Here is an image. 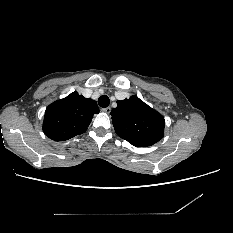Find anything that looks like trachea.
I'll return each mask as SVG.
<instances>
[{
    "mask_svg": "<svg viewBox=\"0 0 233 233\" xmlns=\"http://www.w3.org/2000/svg\"><path fill=\"white\" fill-rule=\"evenodd\" d=\"M98 104L99 106L106 108L109 106L110 104V100L109 97L107 95H102L99 99H98Z\"/></svg>",
    "mask_w": 233,
    "mask_h": 233,
    "instance_id": "trachea-1",
    "label": "trachea"
}]
</instances>
